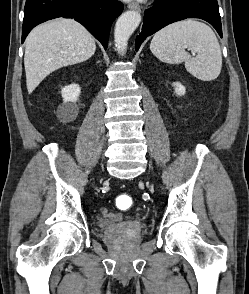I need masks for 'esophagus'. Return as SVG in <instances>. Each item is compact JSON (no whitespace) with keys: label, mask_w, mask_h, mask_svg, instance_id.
Listing matches in <instances>:
<instances>
[{"label":"esophagus","mask_w":249,"mask_h":294,"mask_svg":"<svg viewBox=\"0 0 249 294\" xmlns=\"http://www.w3.org/2000/svg\"><path fill=\"white\" fill-rule=\"evenodd\" d=\"M128 8L131 9V10H136V11H138V12L141 11V7H140L139 4L136 3V2H132V3H130V4L128 5Z\"/></svg>","instance_id":"obj_1"}]
</instances>
